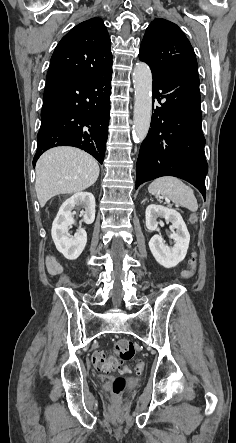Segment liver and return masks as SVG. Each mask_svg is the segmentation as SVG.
<instances>
[{
    "instance_id": "liver-1",
    "label": "liver",
    "mask_w": 236,
    "mask_h": 443,
    "mask_svg": "<svg viewBox=\"0 0 236 443\" xmlns=\"http://www.w3.org/2000/svg\"><path fill=\"white\" fill-rule=\"evenodd\" d=\"M35 170V190L41 207L56 195L78 193L89 188L99 176V165L91 155L65 146L42 154Z\"/></svg>"
}]
</instances>
